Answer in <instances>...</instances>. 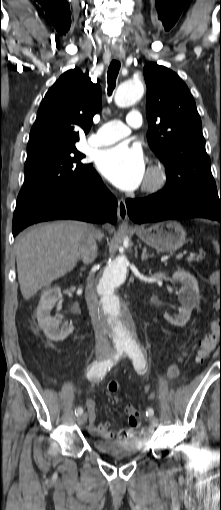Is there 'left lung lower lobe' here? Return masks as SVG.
Returning a JSON list of instances; mask_svg holds the SVG:
<instances>
[{
    "mask_svg": "<svg viewBox=\"0 0 221 510\" xmlns=\"http://www.w3.org/2000/svg\"><path fill=\"white\" fill-rule=\"evenodd\" d=\"M129 217L136 223L183 217H201L221 224V196L190 194L167 196L157 192L141 199H127Z\"/></svg>",
    "mask_w": 221,
    "mask_h": 510,
    "instance_id": "obj_1",
    "label": "left lung lower lobe"
}]
</instances>
